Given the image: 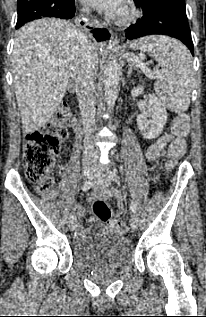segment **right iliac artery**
Instances as JSON below:
<instances>
[{"label": "right iliac artery", "instance_id": "right-iliac-artery-1", "mask_svg": "<svg viewBox=\"0 0 206 317\" xmlns=\"http://www.w3.org/2000/svg\"><path fill=\"white\" fill-rule=\"evenodd\" d=\"M95 184V180L93 178H91L90 180L86 181L84 184H83V187H82V190L83 191H88L90 188H92V186ZM74 215L71 214L69 216V220L70 221H73L74 220Z\"/></svg>", "mask_w": 206, "mask_h": 317}]
</instances>
